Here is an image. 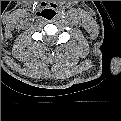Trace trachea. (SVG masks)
I'll list each match as a JSON object with an SVG mask.
<instances>
[{"mask_svg":"<svg viewBox=\"0 0 121 121\" xmlns=\"http://www.w3.org/2000/svg\"><path fill=\"white\" fill-rule=\"evenodd\" d=\"M56 15V12L54 10H51V9H46L44 12H43V17L47 20H52Z\"/></svg>","mask_w":121,"mask_h":121,"instance_id":"obj_1","label":"trachea"}]
</instances>
